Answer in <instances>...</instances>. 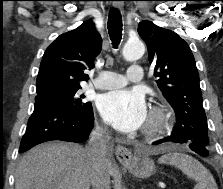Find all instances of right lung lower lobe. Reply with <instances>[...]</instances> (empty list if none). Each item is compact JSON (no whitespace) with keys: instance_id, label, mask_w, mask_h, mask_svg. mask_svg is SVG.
<instances>
[{"instance_id":"right-lung-lower-lobe-1","label":"right lung lower lobe","mask_w":223,"mask_h":189,"mask_svg":"<svg viewBox=\"0 0 223 189\" xmlns=\"http://www.w3.org/2000/svg\"><path fill=\"white\" fill-rule=\"evenodd\" d=\"M93 120L92 108L78 112L61 105L35 103L19 152L52 140L84 142L92 129Z\"/></svg>"}]
</instances>
